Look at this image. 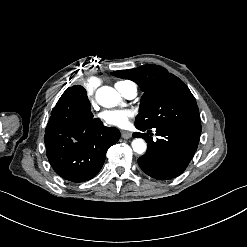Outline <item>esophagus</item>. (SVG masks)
<instances>
[{
  "label": "esophagus",
  "instance_id": "34e87169",
  "mask_svg": "<svg viewBox=\"0 0 247 247\" xmlns=\"http://www.w3.org/2000/svg\"><path fill=\"white\" fill-rule=\"evenodd\" d=\"M121 136L123 139H129L132 137V132L130 131H122Z\"/></svg>",
  "mask_w": 247,
  "mask_h": 247
}]
</instances>
